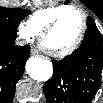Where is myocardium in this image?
<instances>
[{
	"label": "myocardium",
	"mask_w": 103,
	"mask_h": 103,
	"mask_svg": "<svg viewBox=\"0 0 103 103\" xmlns=\"http://www.w3.org/2000/svg\"><path fill=\"white\" fill-rule=\"evenodd\" d=\"M74 11H78L82 14L83 16V27H82V31L80 33V35L78 36V38L75 40V42L70 45L69 47L63 49V50H52L49 49L48 47L45 46L44 44V40L47 37V35L52 32L56 26L60 23V21L65 18L68 14L74 12ZM88 30V15L86 13V11L78 6H71L68 9L62 11L61 13H59L58 15H56L42 30V32L40 33V37H39V42H40V46L41 48L48 53L49 55L53 56V57H58V58H63L66 57L68 55H71L72 53H74L82 44L86 33Z\"/></svg>",
	"instance_id": "obj_1"
}]
</instances>
